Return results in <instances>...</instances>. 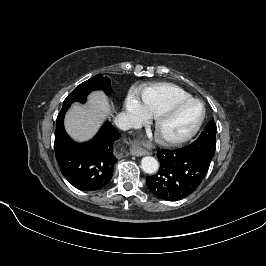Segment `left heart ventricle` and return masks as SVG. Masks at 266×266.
Segmentation results:
<instances>
[{
    "label": "left heart ventricle",
    "instance_id": "b2bd125f",
    "mask_svg": "<svg viewBox=\"0 0 266 266\" xmlns=\"http://www.w3.org/2000/svg\"><path fill=\"white\" fill-rule=\"evenodd\" d=\"M200 114L201 108L199 105L187 106L164 123L162 133L170 137L181 136L195 125Z\"/></svg>",
    "mask_w": 266,
    "mask_h": 266
}]
</instances>
